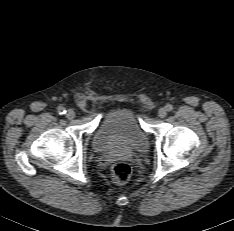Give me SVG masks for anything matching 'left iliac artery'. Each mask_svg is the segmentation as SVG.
Listing matches in <instances>:
<instances>
[{
	"label": "left iliac artery",
	"instance_id": "1",
	"mask_svg": "<svg viewBox=\"0 0 234 231\" xmlns=\"http://www.w3.org/2000/svg\"><path fill=\"white\" fill-rule=\"evenodd\" d=\"M165 108L167 111H172L173 106L171 104H167Z\"/></svg>",
	"mask_w": 234,
	"mask_h": 231
}]
</instances>
